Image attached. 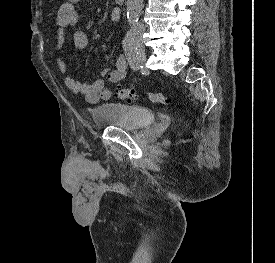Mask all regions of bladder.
<instances>
[{"instance_id":"1","label":"bladder","mask_w":275,"mask_h":263,"mask_svg":"<svg viewBox=\"0 0 275 263\" xmlns=\"http://www.w3.org/2000/svg\"><path fill=\"white\" fill-rule=\"evenodd\" d=\"M92 118L97 126H117L128 130L151 125L156 120L155 113L147 107L111 103L95 107Z\"/></svg>"}]
</instances>
